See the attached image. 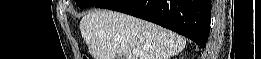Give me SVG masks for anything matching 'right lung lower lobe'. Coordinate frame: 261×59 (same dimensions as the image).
<instances>
[{"label":"right lung lower lobe","instance_id":"obj_1","mask_svg":"<svg viewBox=\"0 0 261 59\" xmlns=\"http://www.w3.org/2000/svg\"><path fill=\"white\" fill-rule=\"evenodd\" d=\"M95 7L156 23L206 47L210 32V0H103Z\"/></svg>","mask_w":261,"mask_h":59}]
</instances>
